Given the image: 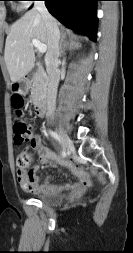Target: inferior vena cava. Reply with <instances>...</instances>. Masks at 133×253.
<instances>
[{"instance_id": "inferior-vena-cava-1", "label": "inferior vena cava", "mask_w": 133, "mask_h": 253, "mask_svg": "<svg viewBox=\"0 0 133 253\" xmlns=\"http://www.w3.org/2000/svg\"><path fill=\"white\" fill-rule=\"evenodd\" d=\"M34 9H36L41 14L47 28L49 46L45 56L48 73L47 115L53 117L56 109L57 87L60 79V32L56 20L48 12L44 1H35Z\"/></svg>"}]
</instances>
